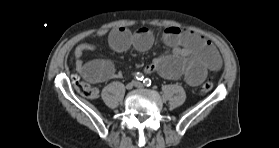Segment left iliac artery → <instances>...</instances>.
<instances>
[{
    "instance_id": "44dca946",
    "label": "left iliac artery",
    "mask_w": 279,
    "mask_h": 148,
    "mask_svg": "<svg viewBox=\"0 0 279 148\" xmlns=\"http://www.w3.org/2000/svg\"><path fill=\"white\" fill-rule=\"evenodd\" d=\"M144 85L149 87L151 85V80L149 78L144 79L143 81Z\"/></svg>"
}]
</instances>
